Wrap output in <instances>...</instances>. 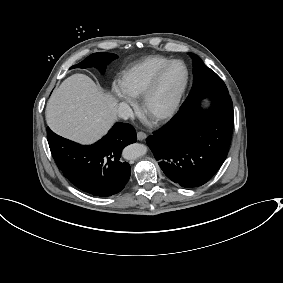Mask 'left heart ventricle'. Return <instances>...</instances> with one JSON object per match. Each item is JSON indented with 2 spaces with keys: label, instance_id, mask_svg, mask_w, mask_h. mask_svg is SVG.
<instances>
[{
  "label": "left heart ventricle",
  "instance_id": "left-heart-ventricle-1",
  "mask_svg": "<svg viewBox=\"0 0 283 283\" xmlns=\"http://www.w3.org/2000/svg\"><path fill=\"white\" fill-rule=\"evenodd\" d=\"M185 80V69L181 64L172 65L161 77L154 98L149 105L150 113L167 109Z\"/></svg>",
  "mask_w": 283,
  "mask_h": 283
}]
</instances>
